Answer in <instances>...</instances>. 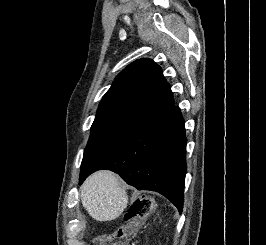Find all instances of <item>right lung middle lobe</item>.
Returning <instances> with one entry per match:
<instances>
[{"label": "right lung middle lobe", "instance_id": "right-lung-middle-lobe-1", "mask_svg": "<svg viewBox=\"0 0 266 245\" xmlns=\"http://www.w3.org/2000/svg\"><path fill=\"white\" fill-rule=\"evenodd\" d=\"M142 120L114 115L96 116L81 163V172L88 169L101 155L120 142Z\"/></svg>", "mask_w": 266, "mask_h": 245}]
</instances>
